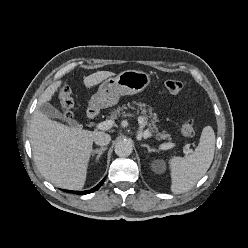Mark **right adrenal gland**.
Returning <instances> with one entry per match:
<instances>
[{"label": "right adrenal gland", "instance_id": "right-adrenal-gland-1", "mask_svg": "<svg viewBox=\"0 0 248 248\" xmlns=\"http://www.w3.org/2000/svg\"><path fill=\"white\" fill-rule=\"evenodd\" d=\"M107 147H101L99 149H96L93 151V156L97 154L96 156V162L99 160L100 156L103 154L104 151H106Z\"/></svg>", "mask_w": 248, "mask_h": 248}]
</instances>
